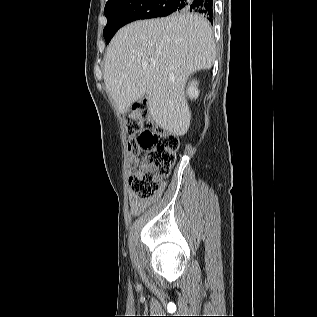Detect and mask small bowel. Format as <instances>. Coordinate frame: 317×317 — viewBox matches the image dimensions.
I'll list each match as a JSON object with an SVG mask.
<instances>
[{
	"label": "small bowel",
	"mask_w": 317,
	"mask_h": 317,
	"mask_svg": "<svg viewBox=\"0 0 317 317\" xmlns=\"http://www.w3.org/2000/svg\"><path fill=\"white\" fill-rule=\"evenodd\" d=\"M149 205H150V201L138 200L134 195H131L129 198L130 213L133 216L140 214Z\"/></svg>",
	"instance_id": "obj_1"
}]
</instances>
